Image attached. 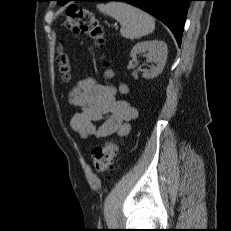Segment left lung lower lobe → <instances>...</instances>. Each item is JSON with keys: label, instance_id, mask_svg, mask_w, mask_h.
<instances>
[{"label": "left lung lower lobe", "instance_id": "left-lung-lower-lobe-1", "mask_svg": "<svg viewBox=\"0 0 231 231\" xmlns=\"http://www.w3.org/2000/svg\"><path fill=\"white\" fill-rule=\"evenodd\" d=\"M72 0H64L63 5ZM85 1H124L143 9L162 21L174 34L181 45L182 32L189 1L192 0H85Z\"/></svg>", "mask_w": 231, "mask_h": 231}]
</instances>
